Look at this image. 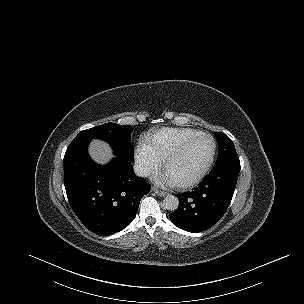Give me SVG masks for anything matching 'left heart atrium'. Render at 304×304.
Returning a JSON list of instances; mask_svg holds the SVG:
<instances>
[{"mask_svg": "<svg viewBox=\"0 0 304 304\" xmlns=\"http://www.w3.org/2000/svg\"><path fill=\"white\" fill-rule=\"evenodd\" d=\"M161 181L163 182V183H166V184H168V185H174V181L168 176V174H166L162 179H161Z\"/></svg>", "mask_w": 304, "mask_h": 304, "instance_id": "left-heart-atrium-1", "label": "left heart atrium"}]
</instances>
